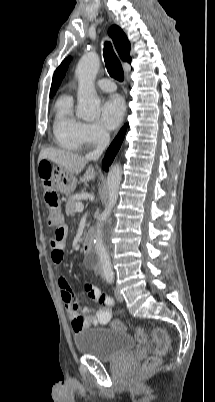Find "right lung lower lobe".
Wrapping results in <instances>:
<instances>
[{"label": "right lung lower lobe", "mask_w": 215, "mask_h": 402, "mask_svg": "<svg viewBox=\"0 0 215 402\" xmlns=\"http://www.w3.org/2000/svg\"><path fill=\"white\" fill-rule=\"evenodd\" d=\"M126 132V127L124 126L119 134L117 135V137L114 139V141L111 143L110 147L108 148L106 155H105V159L103 161L102 167L104 170H107L109 165L112 163L114 157L116 156L122 141L124 139V135Z\"/></svg>", "instance_id": "98d812e1"}]
</instances>
